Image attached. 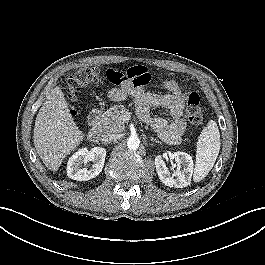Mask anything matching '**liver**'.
Instances as JSON below:
<instances>
[{"label":"liver","mask_w":265,"mask_h":265,"mask_svg":"<svg viewBox=\"0 0 265 265\" xmlns=\"http://www.w3.org/2000/svg\"><path fill=\"white\" fill-rule=\"evenodd\" d=\"M76 126L60 87H55L40 108L33 132V141L44 165L57 171L64 158L84 140Z\"/></svg>","instance_id":"6515ba94"}]
</instances>
